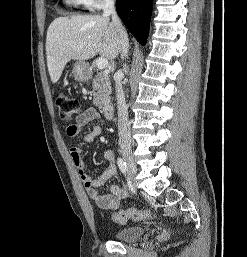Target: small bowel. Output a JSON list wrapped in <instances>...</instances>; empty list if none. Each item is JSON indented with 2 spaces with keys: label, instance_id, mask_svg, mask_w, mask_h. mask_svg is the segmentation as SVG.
Listing matches in <instances>:
<instances>
[{
  "label": "small bowel",
  "instance_id": "small-bowel-1",
  "mask_svg": "<svg viewBox=\"0 0 247 257\" xmlns=\"http://www.w3.org/2000/svg\"><path fill=\"white\" fill-rule=\"evenodd\" d=\"M98 118V113L94 108H87L82 111L76 118L74 124L66 128V133L71 139H80L82 144L91 143L96 136L101 133V127L96 126L92 132L81 136L82 129ZM71 159L76 166L79 176L84 183L89 197L96 203L98 207L104 210H115L118 208L121 200L126 197L124 189L117 185L110 187V194H101L98 189L103 186L117 173V166L115 162L114 153L111 150L104 152V159L107 162V168L96 178H91L86 172V165L82 158V149L79 146L70 149Z\"/></svg>",
  "mask_w": 247,
  "mask_h": 257
}]
</instances>
